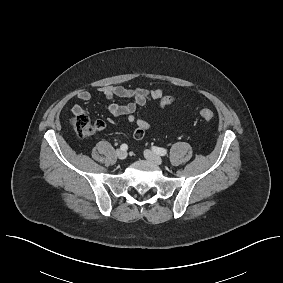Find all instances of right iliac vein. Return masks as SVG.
Segmentation results:
<instances>
[{"label": "right iliac vein", "mask_w": 283, "mask_h": 283, "mask_svg": "<svg viewBox=\"0 0 283 283\" xmlns=\"http://www.w3.org/2000/svg\"><path fill=\"white\" fill-rule=\"evenodd\" d=\"M116 155H117V157L119 158V159H125L126 157H127V152L126 151H124V150H121V149H118L117 151H116Z\"/></svg>", "instance_id": "63e3f726"}]
</instances>
